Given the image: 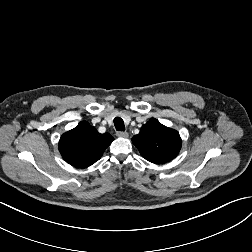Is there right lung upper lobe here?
<instances>
[{
    "instance_id": "right-lung-upper-lobe-1",
    "label": "right lung upper lobe",
    "mask_w": 252,
    "mask_h": 252,
    "mask_svg": "<svg viewBox=\"0 0 252 252\" xmlns=\"http://www.w3.org/2000/svg\"><path fill=\"white\" fill-rule=\"evenodd\" d=\"M113 140L109 133L100 134L87 121H82L61 136L59 151L67 163L86 168L101 158Z\"/></svg>"
}]
</instances>
